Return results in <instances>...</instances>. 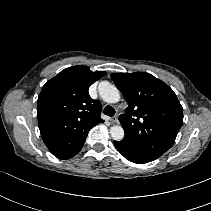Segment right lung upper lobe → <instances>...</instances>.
Wrapping results in <instances>:
<instances>
[{
	"mask_svg": "<svg viewBox=\"0 0 211 211\" xmlns=\"http://www.w3.org/2000/svg\"><path fill=\"white\" fill-rule=\"evenodd\" d=\"M106 72L89 67L64 69L43 87L37 101L38 124L44 143L59 159H69L82 148L89 130L104 122L102 106L88 89Z\"/></svg>",
	"mask_w": 211,
	"mask_h": 211,
	"instance_id": "cb5924a9",
	"label": "right lung upper lobe"
}]
</instances>
